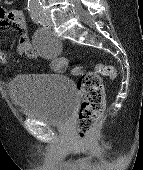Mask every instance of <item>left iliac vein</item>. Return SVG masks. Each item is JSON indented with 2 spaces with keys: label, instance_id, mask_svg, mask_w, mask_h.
Segmentation results:
<instances>
[{
  "label": "left iliac vein",
  "instance_id": "4c4485c4",
  "mask_svg": "<svg viewBox=\"0 0 143 170\" xmlns=\"http://www.w3.org/2000/svg\"><path fill=\"white\" fill-rule=\"evenodd\" d=\"M48 28L52 27V21L50 17H47Z\"/></svg>",
  "mask_w": 143,
  "mask_h": 170
}]
</instances>
